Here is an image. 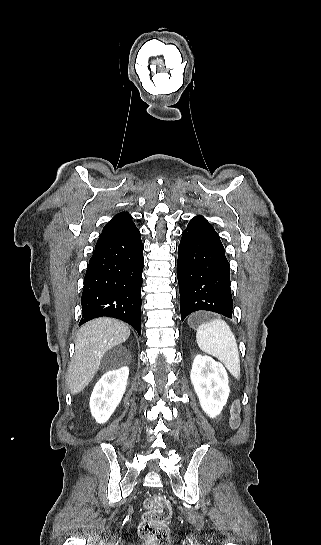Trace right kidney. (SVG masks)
<instances>
[{"label":"right kidney","instance_id":"obj_1","mask_svg":"<svg viewBox=\"0 0 321 545\" xmlns=\"http://www.w3.org/2000/svg\"><path fill=\"white\" fill-rule=\"evenodd\" d=\"M128 367L125 370L108 371L96 383L90 397L91 415L96 423H106L118 407L127 385Z\"/></svg>","mask_w":321,"mask_h":545}]
</instances>
